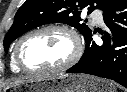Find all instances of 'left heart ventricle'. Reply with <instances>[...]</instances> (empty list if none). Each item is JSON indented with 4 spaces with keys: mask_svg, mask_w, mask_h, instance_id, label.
<instances>
[{
    "mask_svg": "<svg viewBox=\"0 0 127 92\" xmlns=\"http://www.w3.org/2000/svg\"><path fill=\"white\" fill-rule=\"evenodd\" d=\"M73 48V41L67 33L50 30L27 39L22 46L21 57L30 69L54 68L70 57Z\"/></svg>",
    "mask_w": 127,
    "mask_h": 92,
    "instance_id": "left-heart-ventricle-1",
    "label": "left heart ventricle"
}]
</instances>
